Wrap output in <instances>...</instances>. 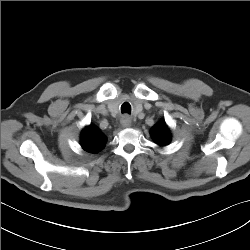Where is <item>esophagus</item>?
<instances>
[{"label":"esophagus","mask_w":250,"mask_h":250,"mask_svg":"<svg viewBox=\"0 0 250 250\" xmlns=\"http://www.w3.org/2000/svg\"><path fill=\"white\" fill-rule=\"evenodd\" d=\"M121 125L124 128L130 127V125H131V118L129 116H127V115L123 116L122 119H121Z\"/></svg>","instance_id":"34e87169"}]
</instances>
